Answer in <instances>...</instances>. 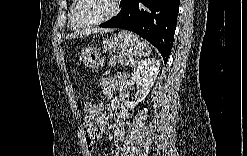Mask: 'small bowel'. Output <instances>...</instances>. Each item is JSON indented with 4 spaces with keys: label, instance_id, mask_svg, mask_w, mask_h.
Masks as SVG:
<instances>
[{
    "label": "small bowel",
    "instance_id": "1",
    "mask_svg": "<svg viewBox=\"0 0 247 156\" xmlns=\"http://www.w3.org/2000/svg\"><path fill=\"white\" fill-rule=\"evenodd\" d=\"M101 88L103 93L108 98H117L121 103H124L127 99V93L125 88V78L122 74H115L109 78H104L101 81ZM88 107H94L93 103H86L84 110H88ZM126 110L122 109L115 115L114 124L112 127V137L116 144H120L125 136V118ZM85 119V115L83 121ZM108 121V117L105 114H101V121H99V127L104 126ZM83 134L85 140V150L88 154L93 153V143L99 139V130L96 136H91L85 130L83 126Z\"/></svg>",
    "mask_w": 247,
    "mask_h": 156
}]
</instances>
